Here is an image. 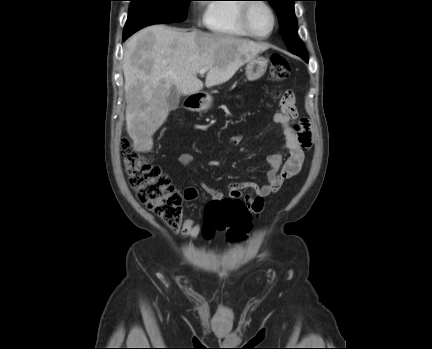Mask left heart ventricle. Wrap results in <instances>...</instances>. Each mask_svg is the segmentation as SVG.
<instances>
[{"label": "left heart ventricle", "instance_id": "obj_1", "mask_svg": "<svg viewBox=\"0 0 432 349\" xmlns=\"http://www.w3.org/2000/svg\"><path fill=\"white\" fill-rule=\"evenodd\" d=\"M249 23L258 35L267 34L272 27V16L268 8L262 4H255L249 13Z\"/></svg>", "mask_w": 432, "mask_h": 349}]
</instances>
